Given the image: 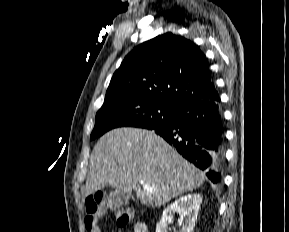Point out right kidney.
Segmentation results:
<instances>
[{"label":"right kidney","mask_w":289,"mask_h":232,"mask_svg":"<svg viewBox=\"0 0 289 232\" xmlns=\"http://www.w3.org/2000/svg\"><path fill=\"white\" fill-rule=\"evenodd\" d=\"M201 203L202 196L199 193L180 197L164 209L161 220L157 223L156 232H168V225L172 223L175 213L180 215L179 224H182L180 232H193Z\"/></svg>","instance_id":"right-kidney-1"}]
</instances>
